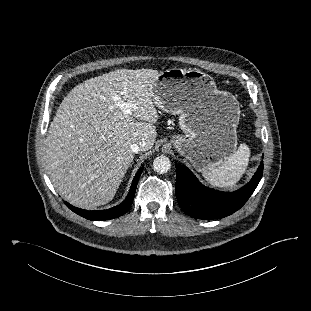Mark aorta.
I'll return each mask as SVG.
<instances>
[{
  "mask_svg": "<svg viewBox=\"0 0 311 311\" xmlns=\"http://www.w3.org/2000/svg\"><path fill=\"white\" fill-rule=\"evenodd\" d=\"M153 168L157 173L163 174L170 170L171 162L166 156H158L153 161Z\"/></svg>",
  "mask_w": 311,
  "mask_h": 311,
  "instance_id": "obj_1",
  "label": "aorta"
}]
</instances>
